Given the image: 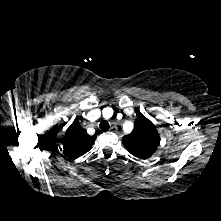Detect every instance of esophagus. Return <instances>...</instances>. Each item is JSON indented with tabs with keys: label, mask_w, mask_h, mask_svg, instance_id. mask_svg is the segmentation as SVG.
I'll use <instances>...</instances> for the list:
<instances>
[{
	"label": "esophagus",
	"mask_w": 221,
	"mask_h": 221,
	"mask_svg": "<svg viewBox=\"0 0 221 221\" xmlns=\"http://www.w3.org/2000/svg\"><path fill=\"white\" fill-rule=\"evenodd\" d=\"M110 131H111V132H115V133H116V132H117V129H116V127H115V126H112V127L110 128Z\"/></svg>",
	"instance_id": "1"
}]
</instances>
